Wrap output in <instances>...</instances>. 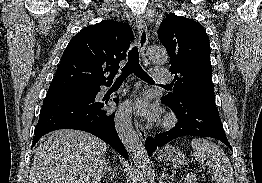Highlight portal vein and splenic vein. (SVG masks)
Here are the masks:
<instances>
[{
    "instance_id": "18ae733b",
    "label": "portal vein and splenic vein",
    "mask_w": 262,
    "mask_h": 183,
    "mask_svg": "<svg viewBox=\"0 0 262 183\" xmlns=\"http://www.w3.org/2000/svg\"><path fill=\"white\" fill-rule=\"evenodd\" d=\"M207 172L210 173L211 170L209 169ZM192 177H193V176L191 175L190 177L185 178V181H188V180H189L190 178H192Z\"/></svg>"
}]
</instances>
